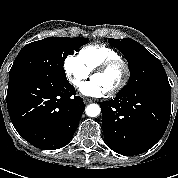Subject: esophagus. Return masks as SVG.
Masks as SVG:
<instances>
[{"mask_svg":"<svg viewBox=\"0 0 178 178\" xmlns=\"http://www.w3.org/2000/svg\"><path fill=\"white\" fill-rule=\"evenodd\" d=\"M92 101H93V100L90 99V98H85V99H84V103H85V104L91 103Z\"/></svg>","mask_w":178,"mask_h":178,"instance_id":"1","label":"esophagus"}]
</instances>
